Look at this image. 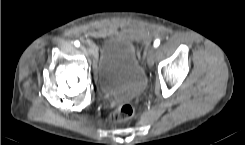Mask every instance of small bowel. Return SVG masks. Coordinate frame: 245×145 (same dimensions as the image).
<instances>
[{
    "label": "small bowel",
    "mask_w": 245,
    "mask_h": 145,
    "mask_svg": "<svg viewBox=\"0 0 245 145\" xmlns=\"http://www.w3.org/2000/svg\"><path fill=\"white\" fill-rule=\"evenodd\" d=\"M111 33H113V31L110 29L101 28V29L97 30L95 36L96 37H105ZM125 34L130 36V37L146 39L150 36V31L146 28H143V29H139V30H128L125 32ZM92 50H94L93 46H92Z\"/></svg>",
    "instance_id": "obj_1"
}]
</instances>
